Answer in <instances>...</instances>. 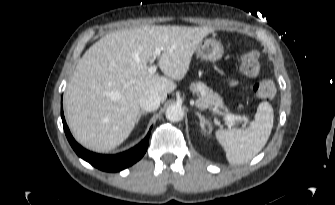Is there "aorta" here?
Segmentation results:
<instances>
[{"label":"aorta","instance_id":"aorta-1","mask_svg":"<svg viewBox=\"0 0 335 205\" xmlns=\"http://www.w3.org/2000/svg\"><path fill=\"white\" fill-rule=\"evenodd\" d=\"M184 111L181 106L170 105L166 110V118L171 122H178L183 119Z\"/></svg>","mask_w":335,"mask_h":205}]
</instances>
